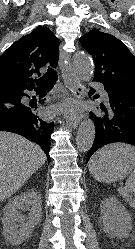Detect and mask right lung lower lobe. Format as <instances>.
<instances>
[{"label":"right lung lower lobe","mask_w":135,"mask_h":249,"mask_svg":"<svg viewBox=\"0 0 135 249\" xmlns=\"http://www.w3.org/2000/svg\"><path fill=\"white\" fill-rule=\"evenodd\" d=\"M23 91L0 92V130L17 133L39 144L49 161L50 135L54 123H47L40 119L34 108L36 105L26 104Z\"/></svg>","instance_id":"98d812e1"}]
</instances>
